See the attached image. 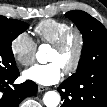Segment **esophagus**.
Listing matches in <instances>:
<instances>
[{"mask_svg":"<svg viewBox=\"0 0 107 107\" xmlns=\"http://www.w3.org/2000/svg\"><path fill=\"white\" fill-rule=\"evenodd\" d=\"M46 90H48V87H44V86H41V85L38 86V92L39 93L44 92Z\"/></svg>","mask_w":107,"mask_h":107,"instance_id":"1","label":"esophagus"}]
</instances>
